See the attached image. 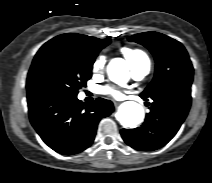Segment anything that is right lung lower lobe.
<instances>
[{
    "mask_svg": "<svg viewBox=\"0 0 212 183\" xmlns=\"http://www.w3.org/2000/svg\"><path fill=\"white\" fill-rule=\"evenodd\" d=\"M31 124L54 151L71 155L88 148L100 119L109 116L113 103L98 98L84 106L77 96L43 92L27 96Z\"/></svg>",
    "mask_w": 212,
    "mask_h": 183,
    "instance_id": "right-lung-lower-lobe-1",
    "label": "right lung lower lobe"
}]
</instances>
